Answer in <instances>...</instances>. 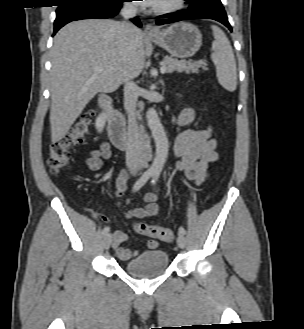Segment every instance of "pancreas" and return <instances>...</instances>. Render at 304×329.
<instances>
[{
    "mask_svg": "<svg viewBox=\"0 0 304 329\" xmlns=\"http://www.w3.org/2000/svg\"><path fill=\"white\" fill-rule=\"evenodd\" d=\"M163 64L167 67L168 73H173L175 71L177 72H185L187 74L189 73H198L199 68H202L203 70H208L207 65L200 62H190L186 60H178L171 57L166 56L163 60Z\"/></svg>",
    "mask_w": 304,
    "mask_h": 329,
    "instance_id": "cf45deb5",
    "label": "pancreas"
}]
</instances>
